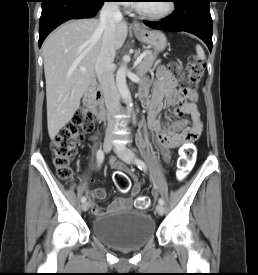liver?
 Returning a JSON list of instances; mask_svg holds the SVG:
<instances>
[{
  "instance_id": "6515ba94",
  "label": "liver",
  "mask_w": 258,
  "mask_h": 275,
  "mask_svg": "<svg viewBox=\"0 0 258 275\" xmlns=\"http://www.w3.org/2000/svg\"><path fill=\"white\" fill-rule=\"evenodd\" d=\"M103 29L98 19H77L52 32L43 44L46 79L47 127L54 139L74 116L80 100L94 77ZM128 34L125 22L115 31V48L120 49ZM85 68L86 71H81Z\"/></svg>"
}]
</instances>
